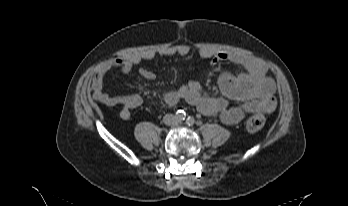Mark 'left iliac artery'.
<instances>
[{
    "label": "left iliac artery",
    "mask_w": 348,
    "mask_h": 206,
    "mask_svg": "<svg viewBox=\"0 0 348 206\" xmlns=\"http://www.w3.org/2000/svg\"><path fill=\"white\" fill-rule=\"evenodd\" d=\"M193 122H194V119H193L192 117L189 116V117L187 118V123H188V124H192Z\"/></svg>",
    "instance_id": "1"
}]
</instances>
